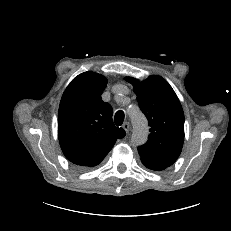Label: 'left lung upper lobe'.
Listing matches in <instances>:
<instances>
[{
  "instance_id": "1",
  "label": "left lung upper lobe",
  "mask_w": 231,
  "mask_h": 231,
  "mask_svg": "<svg viewBox=\"0 0 231 231\" xmlns=\"http://www.w3.org/2000/svg\"><path fill=\"white\" fill-rule=\"evenodd\" d=\"M125 80L133 85L140 109L151 127L148 141L138 147L142 162L161 168L171 166L179 157L184 141V113L177 95L157 75L140 83L132 77Z\"/></svg>"
}]
</instances>
